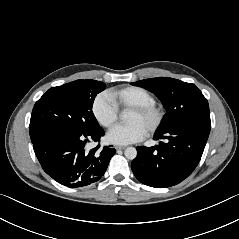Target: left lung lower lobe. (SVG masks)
I'll list each match as a JSON object with an SVG mask.
<instances>
[{"mask_svg": "<svg viewBox=\"0 0 239 239\" xmlns=\"http://www.w3.org/2000/svg\"><path fill=\"white\" fill-rule=\"evenodd\" d=\"M211 126L181 124L156 131L154 140L167 139L154 147L138 146L131 168L143 184L166 188L187 178L198 165Z\"/></svg>", "mask_w": 239, "mask_h": 239, "instance_id": "0a47b994", "label": "left lung lower lobe"}]
</instances>
